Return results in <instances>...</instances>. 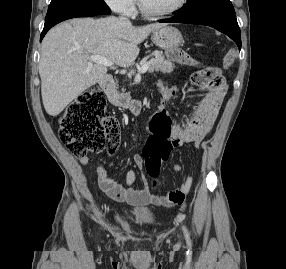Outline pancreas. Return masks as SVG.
Segmentation results:
<instances>
[{"instance_id":"cf45deb5","label":"pancreas","mask_w":286,"mask_h":269,"mask_svg":"<svg viewBox=\"0 0 286 269\" xmlns=\"http://www.w3.org/2000/svg\"><path fill=\"white\" fill-rule=\"evenodd\" d=\"M153 56L154 58L149 61V72L160 71L162 73H171L173 71L175 66L170 60L165 59V57L158 52H154ZM147 59L148 57L144 58L142 64L146 63Z\"/></svg>"}]
</instances>
